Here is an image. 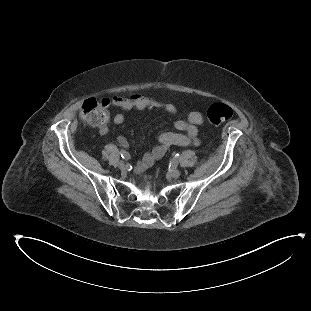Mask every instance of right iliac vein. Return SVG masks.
Returning <instances> with one entry per match:
<instances>
[{"mask_svg":"<svg viewBox=\"0 0 311 311\" xmlns=\"http://www.w3.org/2000/svg\"><path fill=\"white\" fill-rule=\"evenodd\" d=\"M118 167L120 170H125L126 169V164L123 161H120L118 163Z\"/></svg>","mask_w":311,"mask_h":311,"instance_id":"obj_1","label":"right iliac vein"}]
</instances>
